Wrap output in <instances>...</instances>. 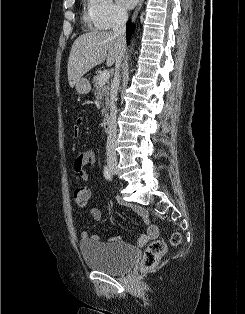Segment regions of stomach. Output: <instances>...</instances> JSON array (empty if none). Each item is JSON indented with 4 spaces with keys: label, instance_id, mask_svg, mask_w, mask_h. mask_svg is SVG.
<instances>
[{
    "label": "stomach",
    "instance_id": "1",
    "mask_svg": "<svg viewBox=\"0 0 245 314\" xmlns=\"http://www.w3.org/2000/svg\"><path fill=\"white\" fill-rule=\"evenodd\" d=\"M91 90V85L86 78H80L76 83V91L80 95H85Z\"/></svg>",
    "mask_w": 245,
    "mask_h": 314
}]
</instances>
